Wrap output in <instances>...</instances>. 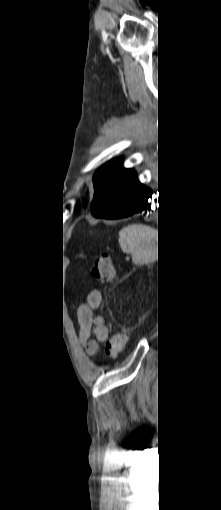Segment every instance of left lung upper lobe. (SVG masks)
Instances as JSON below:
<instances>
[{
    "label": "left lung upper lobe",
    "mask_w": 221,
    "mask_h": 510,
    "mask_svg": "<svg viewBox=\"0 0 221 510\" xmlns=\"http://www.w3.org/2000/svg\"><path fill=\"white\" fill-rule=\"evenodd\" d=\"M122 161V158L111 160L94 174V193L92 195L91 211H95L107 205L125 187L136 179V172L134 170L124 169L122 167Z\"/></svg>",
    "instance_id": "1"
}]
</instances>
